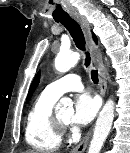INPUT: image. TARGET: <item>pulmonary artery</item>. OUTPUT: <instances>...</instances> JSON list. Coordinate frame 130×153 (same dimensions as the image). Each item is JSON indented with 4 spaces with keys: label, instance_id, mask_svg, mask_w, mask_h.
Wrapping results in <instances>:
<instances>
[{
    "label": "pulmonary artery",
    "instance_id": "pulmonary-artery-1",
    "mask_svg": "<svg viewBox=\"0 0 130 153\" xmlns=\"http://www.w3.org/2000/svg\"><path fill=\"white\" fill-rule=\"evenodd\" d=\"M82 89L83 84L80 76L77 74H68L48 84L45 91L48 94L59 98L65 92L81 91Z\"/></svg>",
    "mask_w": 130,
    "mask_h": 153
}]
</instances>
